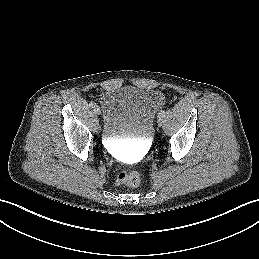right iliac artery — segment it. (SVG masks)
Instances as JSON below:
<instances>
[{"label":"right iliac artery","mask_w":259,"mask_h":259,"mask_svg":"<svg viewBox=\"0 0 259 259\" xmlns=\"http://www.w3.org/2000/svg\"><path fill=\"white\" fill-rule=\"evenodd\" d=\"M89 105H90V107H92V108H94V107L96 106L94 102H91Z\"/></svg>","instance_id":"1"}]
</instances>
